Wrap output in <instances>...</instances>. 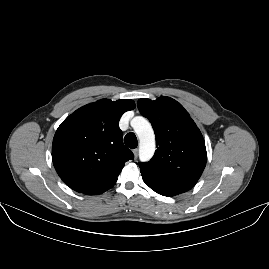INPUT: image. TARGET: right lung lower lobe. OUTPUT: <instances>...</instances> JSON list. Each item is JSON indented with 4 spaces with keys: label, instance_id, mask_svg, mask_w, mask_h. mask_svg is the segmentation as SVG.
<instances>
[{
    "label": "right lung lower lobe",
    "instance_id": "1",
    "mask_svg": "<svg viewBox=\"0 0 269 269\" xmlns=\"http://www.w3.org/2000/svg\"><path fill=\"white\" fill-rule=\"evenodd\" d=\"M110 189V188H109ZM108 190V189H107ZM106 190H102V191H97V192H94V193H91V194H88V195H96V194H101L103 192H105Z\"/></svg>",
    "mask_w": 269,
    "mask_h": 269
}]
</instances>
